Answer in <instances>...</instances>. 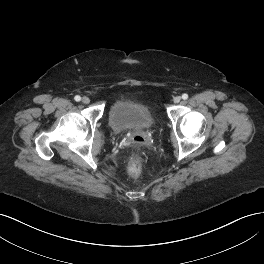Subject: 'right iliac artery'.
Segmentation results:
<instances>
[{
    "label": "right iliac artery",
    "mask_w": 264,
    "mask_h": 264,
    "mask_svg": "<svg viewBox=\"0 0 264 264\" xmlns=\"http://www.w3.org/2000/svg\"><path fill=\"white\" fill-rule=\"evenodd\" d=\"M74 99H75V101H80V100H81V97H80L79 95H76V96L74 97Z\"/></svg>",
    "instance_id": "obj_1"
}]
</instances>
